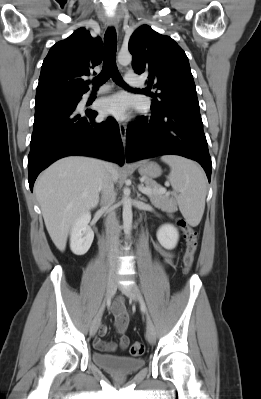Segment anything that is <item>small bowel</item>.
<instances>
[{
    "label": "small bowel",
    "instance_id": "small-bowel-1",
    "mask_svg": "<svg viewBox=\"0 0 261 399\" xmlns=\"http://www.w3.org/2000/svg\"><path fill=\"white\" fill-rule=\"evenodd\" d=\"M157 252L162 255L167 263L173 259V254L164 249L160 244L156 245ZM112 313L115 318V327L119 336L117 342L104 341L102 338L107 334L108 327L101 325L98 331V337L94 340V345L97 349L103 352H113L117 349L125 350L129 346V338L126 331L130 322V317L121 301L116 302L112 307Z\"/></svg>",
    "mask_w": 261,
    "mask_h": 399
}]
</instances>
